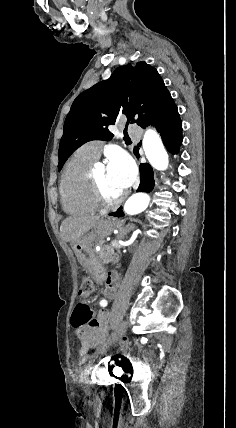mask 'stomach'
I'll use <instances>...</instances> for the list:
<instances>
[{
    "instance_id": "1",
    "label": "stomach",
    "mask_w": 236,
    "mask_h": 428,
    "mask_svg": "<svg viewBox=\"0 0 236 428\" xmlns=\"http://www.w3.org/2000/svg\"><path fill=\"white\" fill-rule=\"evenodd\" d=\"M110 232L111 226L108 222H98L89 234H85L77 242H71V248L79 262H81L82 268L90 273V280L92 283H96L97 286H102L106 280L105 264L99 260L98 256H94L92 246L94 242L96 244L103 242L104 238L110 236Z\"/></svg>"
}]
</instances>
